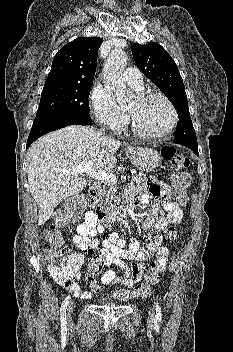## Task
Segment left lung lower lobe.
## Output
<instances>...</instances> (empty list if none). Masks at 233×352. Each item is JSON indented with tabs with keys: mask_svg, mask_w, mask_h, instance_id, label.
Returning a JSON list of instances; mask_svg holds the SVG:
<instances>
[{
	"mask_svg": "<svg viewBox=\"0 0 233 352\" xmlns=\"http://www.w3.org/2000/svg\"><path fill=\"white\" fill-rule=\"evenodd\" d=\"M180 144L189 147L196 155L199 156L197 142H184Z\"/></svg>",
	"mask_w": 233,
	"mask_h": 352,
	"instance_id": "left-lung-lower-lobe-1",
	"label": "left lung lower lobe"
}]
</instances>
